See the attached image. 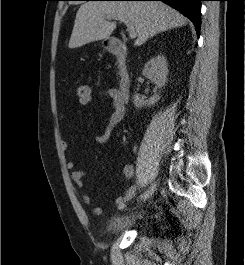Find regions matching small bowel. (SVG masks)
Segmentation results:
<instances>
[{
  "label": "small bowel",
  "mask_w": 245,
  "mask_h": 265,
  "mask_svg": "<svg viewBox=\"0 0 245 265\" xmlns=\"http://www.w3.org/2000/svg\"><path fill=\"white\" fill-rule=\"evenodd\" d=\"M102 97L108 98L111 100L113 111L105 127L104 131L96 137V141L98 143H105L111 136L113 129L115 126L123 119L126 111V100L123 99L116 88H107L100 92ZM62 149L67 150L69 145L66 141H63ZM67 167L71 170V178L78 189L82 190L84 188V178L86 177V171L82 169H77L76 164L73 160H69L67 162ZM134 167L132 165H126L123 168V174L127 179H130L134 176ZM136 187L130 186L126 192L116 198L117 205L119 203H125L126 201L132 199L136 194ZM81 199L85 204L92 205L91 197L86 194L82 193ZM92 213L94 215H101L102 208L99 206L92 207Z\"/></svg>",
  "instance_id": "small-bowel-1"
}]
</instances>
